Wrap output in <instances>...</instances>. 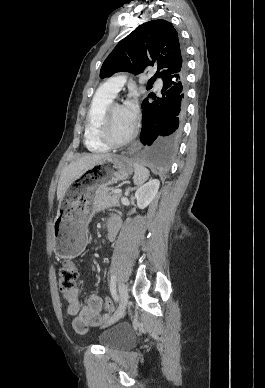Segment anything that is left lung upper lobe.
<instances>
[{
	"mask_svg": "<svg viewBox=\"0 0 265 388\" xmlns=\"http://www.w3.org/2000/svg\"><path fill=\"white\" fill-rule=\"evenodd\" d=\"M148 66L157 68L148 84L186 69L185 52L178 33L166 20L143 23L121 40L104 61L100 77H109L119 71L139 74Z\"/></svg>",
	"mask_w": 265,
	"mask_h": 388,
	"instance_id": "left-lung-upper-lobe-1",
	"label": "left lung upper lobe"
}]
</instances>
